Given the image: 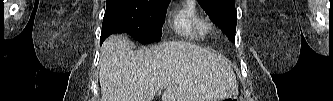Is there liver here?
<instances>
[{
    "instance_id": "6515ba94",
    "label": "liver",
    "mask_w": 333,
    "mask_h": 101,
    "mask_svg": "<svg viewBox=\"0 0 333 101\" xmlns=\"http://www.w3.org/2000/svg\"><path fill=\"white\" fill-rule=\"evenodd\" d=\"M101 101H221L238 85L227 59L197 45L169 41L134 51L128 39L113 35L101 48Z\"/></svg>"
}]
</instances>
